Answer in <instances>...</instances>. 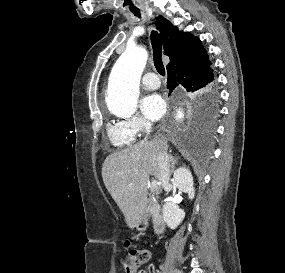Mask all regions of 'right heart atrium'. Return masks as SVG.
<instances>
[{
	"instance_id": "right-heart-atrium-1",
	"label": "right heart atrium",
	"mask_w": 285,
	"mask_h": 273,
	"mask_svg": "<svg viewBox=\"0 0 285 273\" xmlns=\"http://www.w3.org/2000/svg\"><path fill=\"white\" fill-rule=\"evenodd\" d=\"M124 129L133 137L145 134L151 127L149 121L140 116H134L120 122Z\"/></svg>"
}]
</instances>
